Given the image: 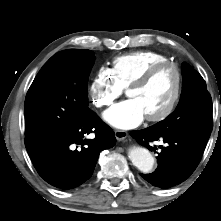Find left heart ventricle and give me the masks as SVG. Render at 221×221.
<instances>
[{
    "label": "left heart ventricle",
    "mask_w": 221,
    "mask_h": 221,
    "mask_svg": "<svg viewBox=\"0 0 221 221\" xmlns=\"http://www.w3.org/2000/svg\"><path fill=\"white\" fill-rule=\"evenodd\" d=\"M175 84V71L167 67L159 71L145 87L131 89L127 95L138 100L145 116H150L166 108L174 94Z\"/></svg>",
    "instance_id": "1"
}]
</instances>
